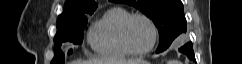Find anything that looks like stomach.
Instances as JSON below:
<instances>
[{"mask_svg":"<svg viewBox=\"0 0 242 64\" xmlns=\"http://www.w3.org/2000/svg\"><path fill=\"white\" fill-rule=\"evenodd\" d=\"M140 64H149L148 62H146V61H143L142 63H140Z\"/></svg>","mask_w":242,"mask_h":64,"instance_id":"stomach-1","label":"stomach"}]
</instances>
